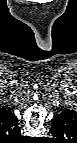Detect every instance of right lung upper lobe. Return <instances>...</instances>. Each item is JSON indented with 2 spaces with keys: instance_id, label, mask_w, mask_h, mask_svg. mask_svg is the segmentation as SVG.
Returning a JSON list of instances; mask_svg holds the SVG:
<instances>
[{
  "instance_id": "obj_1",
  "label": "right lung upper lobe",
  "mask_w": 77,
  "mask_h": 143,
  "mask_svg": "<svg viewBox=\"0 0 77 143\" xmlns=\"http://www.w3.org/2000/svg\"><path fill=\"white\" fill-rule=\"evenodd\" d=\"M0 129L6 135H18L20 133L17 117L6 109L0 110Z\"/></svg>"
}]
</instances>
